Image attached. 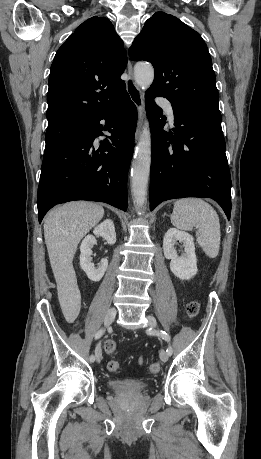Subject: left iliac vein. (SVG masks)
<instances>
[{
	"label": "left iliac vein",
	"instance_id": "obj_1",
	"mask_svg": "<svg viewBox=\"0 0 261 459\" xmlns=\"http://www.w3.org/2000/svg\"><path fill=\"white\" fill-rule=\"evenodd\" d=\"M148 319V326L151 328H156L157 326V321L153 316H147ZM169 358L168 353L165 350L160 351V359L162 362H167Z\"/></svg>",
	"mask_w": 261,
	"mask_h": 459
}]
</instances>
